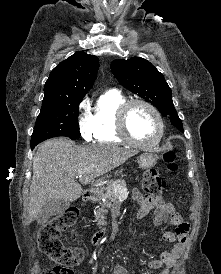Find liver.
<instances>
[{
    "label": "liver",
    "instance_id": "1",
    "mask_svg": "<svg viewBox=\"0 0 221 274\" xmlns=\"http://www.w3.org/2000/svg\"><path fill=\"white\" fill-rule=\"evenodd\" d=\"M136 151L110 145L77 146L66 138L43 142L33 158V176L29 194L28 222L39 216L51 200H77L83 189L75 181L77 172L82 184L102 176L125 163Z\"/></svg>",
    "mask_w": 221,
    "mask_h": 274
}]
</instances>
